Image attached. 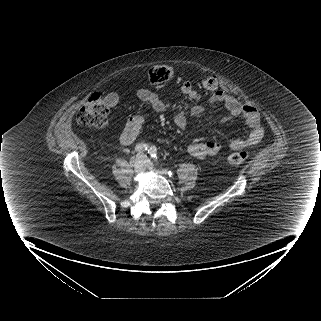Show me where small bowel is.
Masks as SVG:
<instances>
[{
    "label": "small bowel",
    "mask_w": 321,
    "mask_h": 321,
    "mask_svg": "<svg viewBox=\"0 0 321 321\" xmlns=\"http://www.w3.org/2000/svg\"><path fill=\"white\" fill-rule=\"evenodd\" d=\"M180 93L196 103L191 107V116L200 115L204 107L202 102L208 104L223 103L226 107L227 119H235L242 117L247 125L248 133L244 138H236L229 142V148L238 150L241 148L254 147L260 143L264 135V125L258 109L250 104H242L235 98L227 95L221 90H215L210 96L204 97L201 91L192 85L189 81H184L180 87ZM138 96L144 100L149 108L154 112H163L169 108V102L162 101L156 94L148 90L141 89ZM105 101L111 109L119 107V96L115 92H110L105 96ZM144 122V115L139 113L130 118L125 129L120 136V144L122 146L131 145L138 137ZM174 123L179 129L186 126V118L182 114L174 116ZM221 148V144L217 141H207L201 143H193L185 148L186 154L197 159H205L215 155Z\"/></svg>",
    "instance_id": "small-bowel-1"
}]
</instances>
